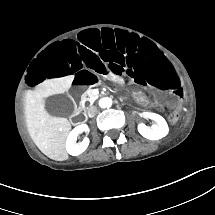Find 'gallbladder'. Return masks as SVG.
<instances>
[{
  "mask_svg": "<svg viewBox=\"0 0 215 215\" xmlns=\"http://www.w3.org/2000/svg\"><path fill=\"white\" fill-rule=\"evenodd\" d=\"M46 109L51 115L68 118L74 114L75 104L64 94H55L44 100Z\"/></svg>",
  "mask_w": 215,
  "mask_h": 215,
  "instance_id": "obj_1",
  "label": "gallbladder"
}]
</instances>
